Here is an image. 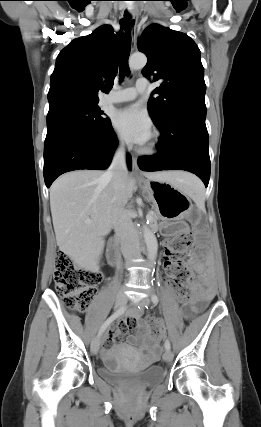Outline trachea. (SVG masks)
Instances as JSON below:
<instances>
[{
    "mask_svg": "<svg viewBox=\"0 0 261 427\" xmlns=\"http://www.w3.org/2000/svg\"><path fill=\"white\" fill-rule=\"evenodd\" d=\"M125 19L121 21V24L124 26L126 24V21L130 20L131 16L128 12H125L124 14ZM130 49H131V36L129 31H127L124 39L121 59H120V81H123L124 75L129 74V67H128V59L130 55Z\"/></svg>",
    "mask_w": 261,
    "mask_h": 427,
    "instance_id": "3493384b",
    "label": "trachea"
}]
</instances>
